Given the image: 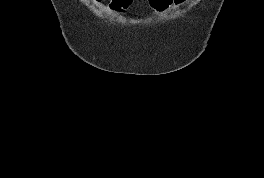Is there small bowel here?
I'll use <instances>...</instances> for the list:
<instances>
[{"mask_svg":"<svg viewBox=\"0 0 264 178\" xmlns=\"http://www.w3.org/2000/svg\"><path fill=\"white\" fill-rule=\"evenodd\" d=\"M102 1H104V0H92V2L95 3V4H99V3H101ZM187 1H188V0H171V4H170V6L181 7V6L184 5ZM132 2H133V0H132ZM132 2H131V4H132ZM131 4H130V5H131ZM129 7H130V6H129Z\"/></svg>","mask_w":264,"mask_h":178,"instance_id":"obj_1","label":"small bowel"}]
</instances>
